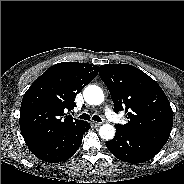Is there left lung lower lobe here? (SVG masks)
Listing matches in <instances>:
<instances>
[{
	"instance_id": "1",
	"label": "left lung lower lobe",
	"mask_w": 184,
	"mask_h": 184,
	"mask_svg": "<svg viewBox=\"0 0 184 184\" xmlns=\"http://www.w3.org/2000/svg\"><path fill=\"white\" fill-rule=\"evenodd\" d=\"M106 146L119 160L135 164L152 159L160 151L145 140L117 126L115 137L107 141Z\"/></svg>"
}]
</instances>
